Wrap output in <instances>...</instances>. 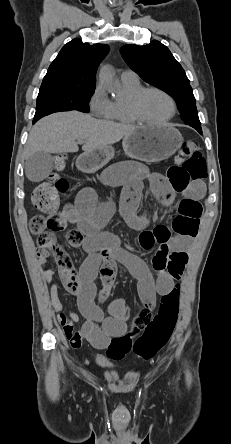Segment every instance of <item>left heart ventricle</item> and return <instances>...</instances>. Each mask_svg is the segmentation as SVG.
I'll return each instance as SVG.
<instances>
[{"label":"left heart ventricle","mask_w":231,"mask_h":444,"mask_svg":"<svg viewBox=\"0 0 231 444\" xmlns=\"http://www.w3.org/2000/svg\"><path fill=\"white\" fill-rule=\"evenodd\" d=\"M141 110L149 119L161 120L171 114L172 107L164 95L158 92H149L141 101Z\"/></svg>","instance_id":"1"}]
</instances>
